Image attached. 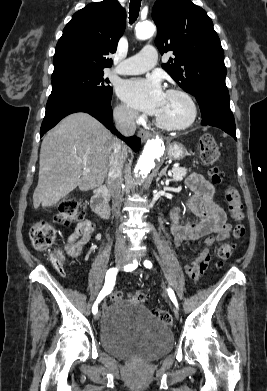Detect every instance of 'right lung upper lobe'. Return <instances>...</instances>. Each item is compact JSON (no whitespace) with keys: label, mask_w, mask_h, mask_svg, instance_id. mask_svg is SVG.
<instances>
[{"label":"right lung upper lobe","mask_w":267,"mask_h":391,"mask_svg":"<svg viewBox=\"0 0 267 391\" xmlns=\"http://www.w3.org/2000/svg\"><path fill=\"white\" fill-rule=\"evenodd\" d=\"M125 26V10L117 0L91 3L76 12L56 45L52 76L111 67L107 55L116 51Z\"/></svg>","instance_id":"cb5924a9"}]
</instances>
